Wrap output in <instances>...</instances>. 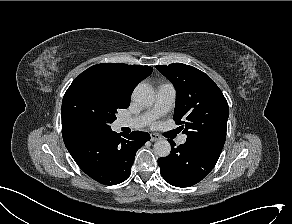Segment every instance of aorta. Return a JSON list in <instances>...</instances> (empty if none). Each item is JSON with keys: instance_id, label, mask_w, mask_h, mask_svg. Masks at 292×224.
Returning <instances> with one entry per match:
<instances>
[{"instance_id": "762f6f07", "label": "aorta", "mask_w": 292, "mask_h": 224, "mask_svg": "<svg viewBox=\"0 0 292 224\" xmlns=\"http://www.w3.org/2000/svg\"><path fill=\"white\" fill-rule=\"evenodd\" d=\"M134 102L141 107H149L155 101L153 89L147 85H138L133 91ZM154 152L159 157H167L171 152V145L167 140H158L154 144Z\"/></svg>"}]
</instances>
